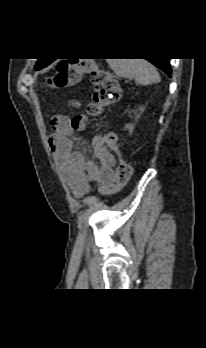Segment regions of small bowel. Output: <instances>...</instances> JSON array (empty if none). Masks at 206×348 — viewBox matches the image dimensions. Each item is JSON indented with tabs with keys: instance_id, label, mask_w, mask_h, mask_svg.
I'll return each mask as SVG.
<instances>
[{
	"instance_id": "1",
	"label": "small bowel",
	"mask_w": 206,
	"mask_h": 348,
	"mask_svg": "<svg viewBox=\"0 0 206 348\" xmlns=\"http://www.w3.org/2000/svg\"><path fill=\"white\" fill-rule=\"evenodd\" d=\"M79 107V102H73ZM51 134L49 144L63 180L77 198L89 191L90 183L100 186L115 182V157L106 148L101 135H95L91 141L92 150L98 160L94 163L86 160L83 153L74 149L72 127L67 116H54L50 121Z\"/></svg>"
}]
</instances>
